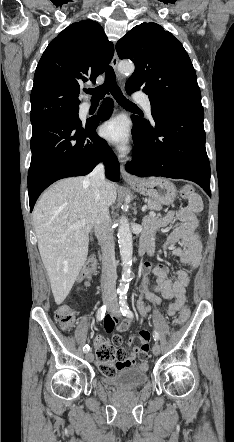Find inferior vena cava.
<instances>
[{"label":"inferior vena cava","instance_id":"602c4592","mask_svg":"<svg viewBox=\"0 0 234 442\" xmlns=\"http://www.w3.org/2000/svg\"><path fill=\"white\" fill-rule=\"evenodd\" d=\"M93 191L97 201L100 202L98 215L95 220V234L102 249V296L111 299L116 291V261L114 250L113 229L108 207L103 203L102 196L105 189L104 165L98 164L93 171L85 178Z\"/></svg>","mask_w":234,"mask_h":442}]
</instances>
